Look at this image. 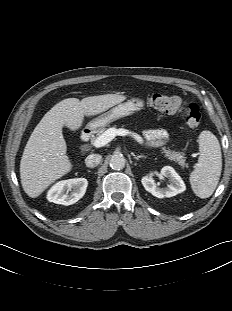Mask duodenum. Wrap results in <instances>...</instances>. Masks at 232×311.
I'll return each instance as SVG.
<instances>
[{
	"instance_id": "duodenum-1",
	"label": "duodenum",
	"mask_w": 232,
	"mask_h": 311,
	"mask_svg": "<svg viewBox=\"0 0 232 311\" xmlns=\"http://www.w3.org/2000/svg\"><path fill=\"white\" fill-rule=\"evenodd\" d=\"M91 134L92 132L90 129H84L80 134V140L82 142H87L90 139Z\"/></svg>"
}]
</instances>
